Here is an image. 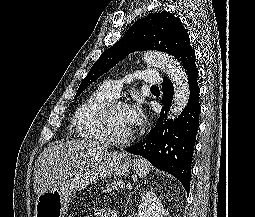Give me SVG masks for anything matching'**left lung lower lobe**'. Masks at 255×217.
Segmentation results:
<instances>
[{
	"mask_svg": "<svg viewBox=\"0 0 255 217\" xmlns=\"http://www.w3.org/2000/svg\"><path fill=\"white\" fill-rule=\"evenodd\" d=\"M176 59L188 76L190 97L187 106L177 119L166 121V113L173 99V86L168 77H163L161 117L151 129L144 142L125 150L147 159L153 166L170 173L190 190L191 163L196 133L199 126L198 69L195 65V52L191 45L181 50Z\"/></svg>",
	"mask_w": 255,
	"mask_h": 217,
	"instance_id": "1",
	"label": "left lung lower lobe"
}]
</instances>
